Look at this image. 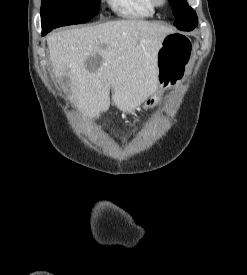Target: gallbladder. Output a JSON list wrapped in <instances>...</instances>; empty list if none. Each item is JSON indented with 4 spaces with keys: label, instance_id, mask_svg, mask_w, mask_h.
Masks as SVG:
<instances>
[{
    "label": "gallbladder",
    "instance_id": "obj_1",
    "mask_svg": "<svg viewBox=\"0 0 247 275\" xmlns=\"http://www.w3.org/2000/svg\"><path fill=\"white\" fill-rule=\"evenodd\" d=\"M66 81H67L66 78H62V79H61V82H62V84H63V87H64V85L66 84Z\"/></svg>",
    "mask_w": 247,
    "mask_h": 275
}]
</instances>
